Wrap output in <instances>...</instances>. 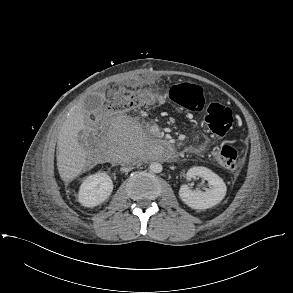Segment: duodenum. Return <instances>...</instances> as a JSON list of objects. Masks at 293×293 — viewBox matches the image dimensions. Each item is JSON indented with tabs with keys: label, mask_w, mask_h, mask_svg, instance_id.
I'll list each match as a JSON object with an SVG mask.
<instances>
[{
	"label": "duodenum",
	"mask_w": 293,
	"mask_h": 293,
	"mask_svg": "<svg viewBox=\"0 0 293 293\" xmlns=\"http://www.w3.org/2000/svg\"><path fill=\"white\" fill-rule=\"evenodd\" d=\"M116 155H117V152L113 151V154L110 156L111 160H115Z\"/></svg>",
	"instance_id": "duodenum-1"
}]
</instances>
